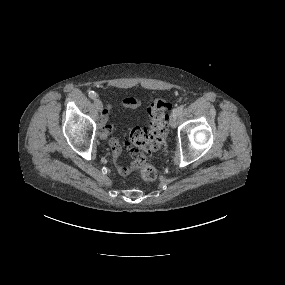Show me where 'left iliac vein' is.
<instances>
[{"mask_svg":"<svg viewBox=\"0 0 285 285\" xmlns=\"http://www.w3.org/2000/svg\"><path fill=\"white\" fill-rule=\"evenodd\" d=\"M177 117H178V115L176 113H172V115L170 117V125H171L172 128L176 127Z\"/></svg>","mask_w":285,"mask_h":285,"instance_id":"left-iliac-vein-1","label":"left iliac vein"}]
</instances>
